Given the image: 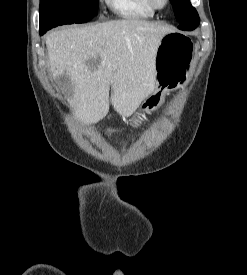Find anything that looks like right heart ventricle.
<instances>
[{
  "instance_id": "obj_1",
  "label": "right heart ventricle",
  "mask_w": 247,
  "mask_h": 275,
  "mask_svg": "<svg viewBox=\"0 0 247 275\" xmlns=\"http://www.w3.org/2000/svg\"><path fill=\"white\" fill-rule=\"evenodd\" d=\"M106 5L124 19H146L155 15L148 0H105Z\"/></svg>"
}]
</instances>
